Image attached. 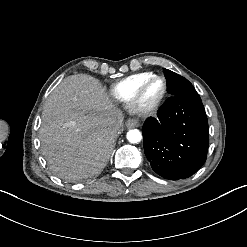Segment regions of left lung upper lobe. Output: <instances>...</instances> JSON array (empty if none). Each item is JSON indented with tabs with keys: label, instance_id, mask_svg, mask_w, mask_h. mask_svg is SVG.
<instances>
[{
	"label": "left lung upper lobe",
	"instance_id": "left-lung-upper-lobe-1",
	"mask_svg": "<svg viewBox=\"0 0 247 247\" xmlns=\"http://www.w3.org/2000/svg\"><path fill=\"white\" fill-rule=\"evenodd\" d=\"M164 73L168 81L167 90L171 94V97L197 93L193 85L186 78L167 69H164Z\"/></svg>",
	"mask_w": 247,
	"mask_h": 247
}]
</instances>
